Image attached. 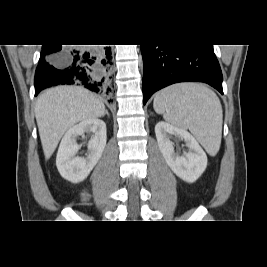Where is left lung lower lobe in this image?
Here are the masks:
<instances>
[{
  "label": "left lung lower lobe",
  "instance_id": "obj_1",
  "mask_svg": "<svg viewBox=\"0 0 267 267\" xmlns=\"http://www.w3.org/2000/svg\"><path fill=\"white\" fill-rule=\"evenodd\" d=\"M141 52L143 104L156 91L178 82H204L223 94L222 72L213 45H141Z\"/></svg>",
  "mask_w": 267,
  "mask_h": 267
}]
</instances>
